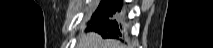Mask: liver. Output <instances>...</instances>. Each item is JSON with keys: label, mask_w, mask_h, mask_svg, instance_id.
I'll return each mask as SVG.
<instances>
[{"label": "liver", "mask_w": 213, "mask_h": 48, "mask_svg": "<svg viewBox=\"0 0 213 48\" xmlns=\"http://www.w3.org/2000/svg\"><path fill=\"white\" fill-rule=\"evenodd\" d=\"M77 48H122V45L112 39H103L95 32H89L80 36Z\"/></svg>", "instance_id": "1"}]
</instances>
